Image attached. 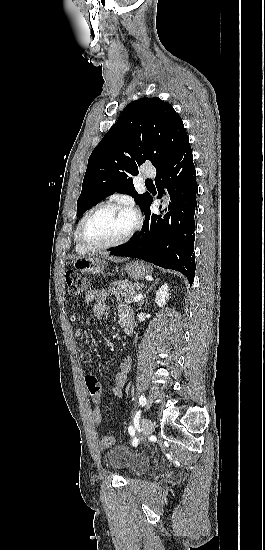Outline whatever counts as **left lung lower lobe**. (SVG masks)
<instances>
[{"label":"left lung lower lobe","mask_w":265,"mask_h":550,"mask_svg":"<svg viewBox=\"0 0 265 550\" xmlns=\"http://www.w3.org/2000/svg\"><path fill=\"white\" fill-rule=\"evenodd\" d=\"M155 184L159 196L167 187L170 194L169 212L160 219L151 214V198L144 214L142 231L122 246L111 248L115 256L136 257L163 268L174 269L188 278L192 285L195 276L196 171L189 140L157 170Z\"/></svg>","instance_id":"1"}]
</instances>
